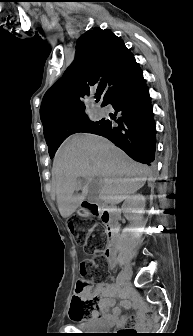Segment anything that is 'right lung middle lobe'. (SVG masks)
I'll return each instance as SVG.
<instances>
[{"label":"right lung middle lobe","mask_w":193,"mask_h":336,"mask_svg":"<svg viewBox=\"0 0 193 336\" xmlns=\"http://www.w3.org/2000/svg\"><path fill=\"white\" fill-rule=\"evenodd\" d=\"M104 120L105 119H101L100 121L93 122L86 115L81 118L77 123H75V125L72 126L65 133L53 136L51 139L47 140L46 142L49 146L48 150L50 158L54 157L56 150L68 136L77 132L93 133L103 126Z\"/></svg>","instance_id":"obj_1"}]
</instances>
